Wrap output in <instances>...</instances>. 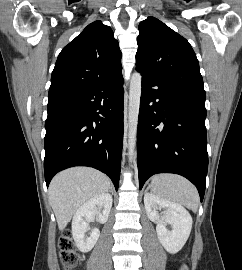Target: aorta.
<instances>
[{
	"mask_svg": "<svg viewBox=\"0 0 242 270\" xmlns=\"http://www.w3.org/2000/svg\"><path fill=\"white\" fill-rule=\"evenodd\" d=\"M141 81V74L134 72L131 77L129 90L128 155L130 162L133 160L134 149L136 145V134L141 97Z\"/></svg>",
	"mask_w": 242,
	"mask_h": 270,
	"instance_id": "1",
	"label": "aorta"
}]
</instances>
